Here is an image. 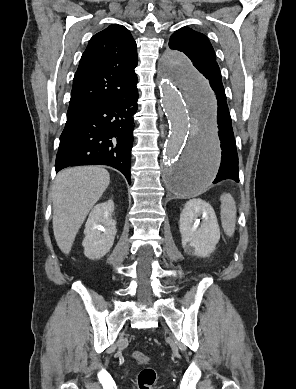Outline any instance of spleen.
<instances>
[{
  "label": "spleen",
  "mask_w": 296,
  "mask_h": 389,
  "mask_svg": "<svg viewBox=\"0 0 296 389\" xmlns=\"http://www.w3.org/2000/svg\"><path fill=\"white\" fill-rule=\"evenodd\" d=\"M221 222L227 236H233L236 222V203L230 194L224 193L221 198Z\"/></svg>",
  "instance_id": "spleen-1"
}]
</instances>
